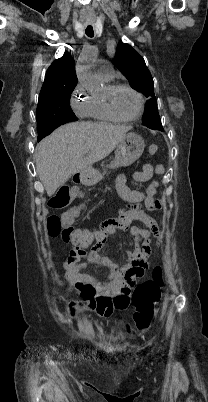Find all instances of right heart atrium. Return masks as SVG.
<instances>
[{
  "mask_svg": "<svg viewBox=\"0 0 208 402\" xmlns=\"http://www.w3.org/2000/svg\"><path fill=\"white\" fill-rule=\"evenodd\" d=\"M70 105L79 117L87 118L91 113L92 95L78 82L70 95Z\"/></svg>",
  "mask_w": 208,
  "mask_h": 402,
  "instance_id": "right-heart-atrium-1",
  "label": "right heart atrium"
}]
</instances>
